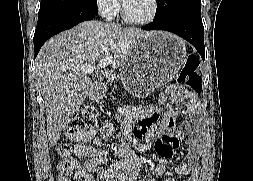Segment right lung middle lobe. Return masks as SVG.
Masks as SVG:
<instances>
[{"instance_id": "dd1d6c3e", "label": "right lung middle lobe", "mask_w": 253, "mask_h": 181, "mask_svg": "<svg viewBox=\"0 0 253 181\" xmlns=\"http://www.w3.org/2000/svg\"><path fill=\"white\" fill-rule=\"evenodd\" d=\"M74 6H82L92 10H98L96 0H41L38 17L60 9Z\"/></svg>"}]
</instances>
